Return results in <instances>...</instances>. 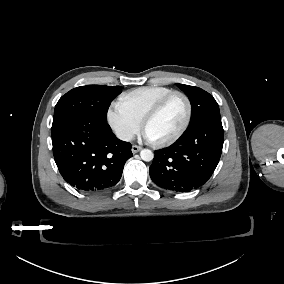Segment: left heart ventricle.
<instances>
[{"label":"left heart ventricle","instance_id":"left-heart-ventricle-1","mask_svg":"<svg viewBox=\"0 0 284 284\" xmlns=\"http://www.w3.org/2000/svg\"><path fill=\"white\" fill-rule=\"evenodd\" d=\"M186 112L185 100L177 96L155 118L146 123L144 129L148 131L153 141H163L179 130Z\"/></svg>","mask_w":284,"mask_h":284}]
</instances>
